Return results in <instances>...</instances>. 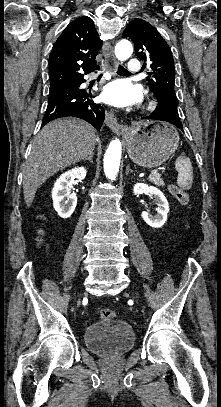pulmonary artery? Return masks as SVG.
<instances>
[{
  "mask_svg": "<svg viewBox=\"0 0 221 407\" xmlns=\"http://www.w3.org/2000/svg\"><path fill=\"white\" fill-rule=\"evenodd\" d=\"M140 69H141V64L140 61L138 59H131L128 62V70L131 73H140Z\"/></svg>",
  "mask_w": 221,
  "mask_h": 407,
  "instance_id": "pulmonary-artery-1",
  "label": "pulmonary artery"
}]
</instances>
